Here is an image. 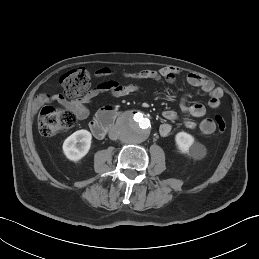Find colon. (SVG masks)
I'll use <instances>...</instances> for the list:
<instances>
[{
  "instance_id": "1",
  "label": "colon",
  "mask_w": 259,
  "mask_h": 259,
  "mask_svg": "<svg viewBox=\"0 0 259 259\" xmlns=\"http://www.w3.org/2000/svg\"><path fill=\"white\" fill-rule=\"evenodd\" d=\"M92 79L93 74L90 71L77 68L64 74L60 83L67 97L78 99L86 93ZM75 121L76 115L72 111L55 106H45L40 112L38 127L43 136L49 137L73 126ZM214 123L218 133L226 131L227 124L221 115L214 117Z\"/></svg>"
}]
</instances>
